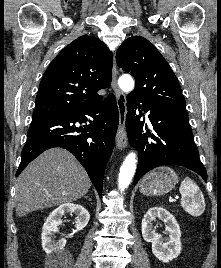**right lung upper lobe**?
Wrapping results in <instances>:
<instances>
[{
	"instance_id": "right-lung-upper-lobe-1",
	"label": "right lung upper lobe",
	"mask_w": 221,
	"mask_h": 268,
	"mask_svg": "<svg viewBox=\"0 0 221 268\" xmlns=\"http://www.w3.org/2000/svg\"><path fill=\"white\" fill-rule=\"evenodd\" d=\"M112 79V53L98 38L84 35L50 63L39 85L34 118L62 116L102 101Z\"/></svg>"
}]
</instances>
